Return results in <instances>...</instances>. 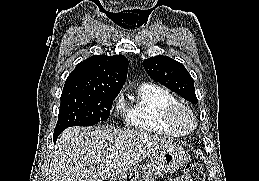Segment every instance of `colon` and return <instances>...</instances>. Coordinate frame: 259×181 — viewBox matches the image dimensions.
I'll use <instances>...</instances> for the list:
<instances>
[{"mask_svg":"<svg viewBox=\"0 0 259 181\" xmlns=\"http://www.w3.org/2000/svg\"><path fill=\"white\" fill-rule=\"evenodd\" d=\"M172 181H204L203 168L200 164L189 165L182 175Z\"/></svg>","mask_w":259,"mask_h":181,"instance_id":"obj_1","label":"colon"}]
</instances>
